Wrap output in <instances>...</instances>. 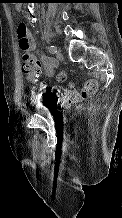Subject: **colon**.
Returning <instances> with one entry per match:
<instances>
[{"mask_svg":"<svg viewBox=\"0 0 122 218\" xmlns=\"http://www.w3.org/2000/svg\"><path fill=\"white\" fill-rule=\"evenodd\" d=\"M16 34L19 48L21 51L23 68L26 70V72L29 73L31 78H35L36 73L40 69V64L31 53L30 33L24 22H20L17 25ZM43 88H46V86H43ZM97 89V81L95 79H87L79 86L78 89L61 90L51 88V91L56 90V92L59 93L66 102L74 103L79 101L80 99H86L93 96L96 93Z\"/></svg>","mask_w":122,"mask_h":218,"instance_id":"5ec220e1","label":"colon"}]
</instances>
